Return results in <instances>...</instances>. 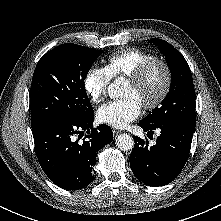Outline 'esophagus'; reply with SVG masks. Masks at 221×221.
<instances>
[{"instance_id":"34e87169","label":"esophagus","mask_w":221,"mask_h":221,"mask_svg":"<svg viewBox=\"0 0 221 221\" xmlns=\"http://www.w3.org/2000/svg\"><path fill=\"white\" fill-rule=\"evenodd\" d=\"M120 133H121L120 130H118V129H113V134H114V135H118V134H120Z\"/></svg>"}]
</instances>
